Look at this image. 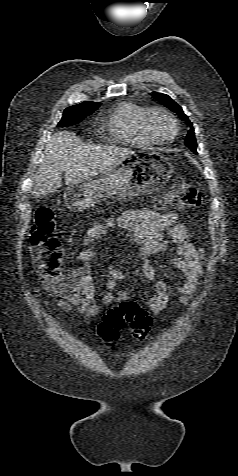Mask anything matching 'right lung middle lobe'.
I'll list each match as a JSON object with an SVG mask.
<instances>
[{
    "label": "right lung middle lobe",
    "mask_w": 238,
    "mask_h": 476,
    "mask_svg": "<svg viewBox=\"0 0 238 476\" xmlns=\"http://www.w3.org/2000/svg\"><path fill=\"white\" fill-rule=\"evenodd\" d=\"M99 106H70L63 112V117L58 126H71L92 114Z\"/></svg>",
    "instance_id": "1"
}]
</instances>
